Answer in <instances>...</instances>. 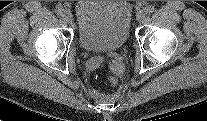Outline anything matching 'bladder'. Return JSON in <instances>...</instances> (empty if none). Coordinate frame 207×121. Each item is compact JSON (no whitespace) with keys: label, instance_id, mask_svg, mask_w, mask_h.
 I'll return each instance as SVG.
<instances>
[{"label":"bladder","instance_id":"obj_1","mask_svg":"<svg viewBox=\"0 0 207 121\" xmlns=\"http://www.w3.org/2000/svg\"><path fill=\"white\" fill-rule=\"evenodd\" d=\"M80 46L90 52H113L129 36L132 6L128 1H79L75 6Z\"/></svg>","mask_w":207,"mask_h":121}]
</instances>
